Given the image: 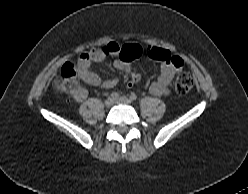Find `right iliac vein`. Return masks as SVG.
I'll return each mask as SVG.
<instances>
[{
    "label": "right iliac vein",
    "instance_id": "obj_1",
    "mask_svg": "<svg viewBox=\"0 0 248 194\" xmlns=\"http://www.w3.org/2000/svg\"><path fill=\"white\" fill-rule=\"evenodd\" d=\"M104 104H105V106H106L107 108H110V107L113 106L114 101H113L112 98H107V99L105 100Z\"/></svg>",
    "mask_w": 248,
    "mask_h": 194
}]
</instances>
